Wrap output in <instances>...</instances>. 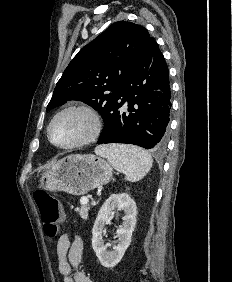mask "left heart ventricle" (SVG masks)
<instances>
[{"label": "left heart ventricle", "instance_id": "1", "mask_svg": "<svg viewBox=\"0 0 232 282\" xmlns=\"http://www.w3.org/2000/svg\"><path fill=\"white\" fill-rule=\"evenodd\" d=\"M90 118L81 112H70L56 120L52 126V139L58 144H69L84 138L91 130Z\"/></svg>", "mask_w": 232, "mask_h": 282}]
</instances>
